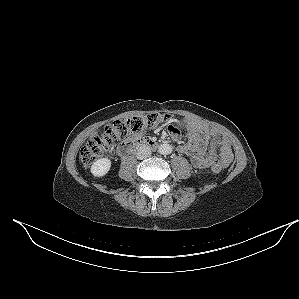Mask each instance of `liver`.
Masks as SVG:
<instances>
[{"mask_svg":"<svg viewBox=\"0 0 299 299\" xmlns=\"http://www.w3.org/2000/svg\"><path fill=\"white\" fill-rule=\"evenodd\" d=\"M96 134H97V132H94V134H92V135L90 136V138H93Z\"/></svg>","mask_w":299,"mask_h":299,"instance_id":"liver-1","label":"liver"}]
</instances>
